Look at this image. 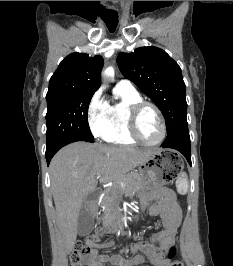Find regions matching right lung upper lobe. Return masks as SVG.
I'll list each match as a JSON object with an SVG mask.
<instances>
[{
    "label": "right lung upper lobe",
    "mask_w": 233,
    "mask_h": 266,
    "mask_svg": "<svg viewBox=\"0 0 233 266\" xmlns=\"http://www.w3.org/2000/svg\"><path fill=\"white\" fill-rule=\"evenodd\" d=\"M101 56L72 53L62 60L50 79L46 98L74 93H94L100 87Z\"/></svg>",
    "instance_id": "obj_1"
}]
</instances>
